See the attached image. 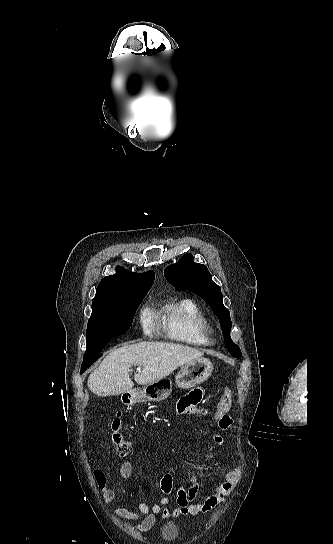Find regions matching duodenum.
I'll return each mask as SVG.
<instances>
[{
    "label": "duodenum",
    "mask_w": 333,
    "mask_h": 544,
    "mask_svg": "<svg viewBox=\"0 0 333 544\" xmlns=\"http://www.w3.org/2000/svg\"><path fill=\"white\" fill-rule=\"evenodd\" d=\"M129 400H130V399H129V397H128V398L126 399V402H129Z\"/></svg>",
    "instance_id": "410a0bca"
}]
</instances>
